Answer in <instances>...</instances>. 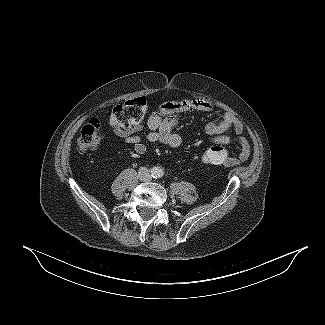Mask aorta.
I'll return each mask as SVG.
<instances>
[{"mask_svg":"<svg viewBox=\"0 0 325 325\" xmlns=\"http://www.w3.org/2000/svg\"><path fill=\"white\" fill-rule=\"evenodd\" d=\"M156 170H157V171H156V175H157V177H162L163 174H164L163 170H162L161 168H159V167H158Z\"/></svg>","mask_w":325,"mask_h":325,"instance_id":"obj_1","label":"aorta"}]
</instances>
